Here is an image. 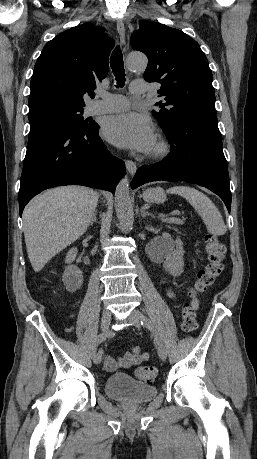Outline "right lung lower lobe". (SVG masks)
Listing matches in <instances>:
<instances>
[{"label":"right lung lower lobe","mask_w":257,"mask_h":459,"mask_svg":"<svg viewBox=\"0 0 257 459\" xmlns=\"http://www.w3.org/2000/svg\"><path fill=\"white\" fill-rule=\"evenodd\" d=\"M94 122L85 129L56 122H30L19 190V212L38 193L60 185H84L115 192L125 164L113 157Z\"/></svg>","instance_id":"obj_1"}]
</instances>
